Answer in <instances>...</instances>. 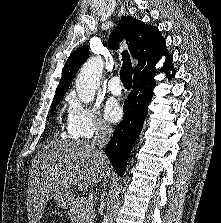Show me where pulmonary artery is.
I'll list each match as a JSON object with an SVG mask.
<instances>
[{
	"instance_id": "pulmonary-artery-1",
	"label": "pulmonary artery",
	"mask_w": 221,
	"mask_h": 223,
	"mask_svg": "<svg viewBox=\"0 0 221 223\" xmlns=\"http://www.w3.org/2000/svg\"><path fill=\"white\" fill-rule=\"evenodd\" d=\"M108 88L114 95H119L122 92L120 78L118 76L111 77L108 81Z\"/></svg>"
}]
</instances>
